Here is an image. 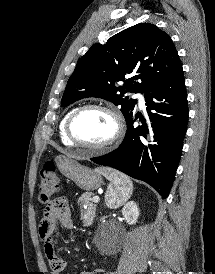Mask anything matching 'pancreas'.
Returning a JSON list of instances; mask_svg holds the SVG:
<instances>
[{
    "instance_id": "pancreas-1",
    "label": "pancreas",
    "mask_w": 215,
    "mask_h": 274,
    "mask_svg": "<svg viewBox=\"0 0 215 274\" xmlns=\"http://www.w3.org/2000/svg\"><path fill=\"white\" fill-rule=\"evenodd\" d=\"M93 202L92 193L90 192L83 193L78 200L81 207V216L87 225L91 224L95 217L96 204ZM83 207H86V209H83Z\"/></svg>"
}]
</instances>
